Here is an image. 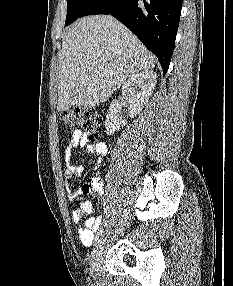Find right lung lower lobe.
Instances as JSON below:
<instances>
[{
  "label": "right lung lower lobe",
  "mask_w": 233,
  "mask_h": 286,
  "mask_svg": "<svg viewBox=\"0 0 233 286\" xmlns=\"http://www.w3.org/2000/svg\"><path fill=\"white\" fill-rule=\"evenodd\" d=\"M182 0H96L81 17L111 14L153 52L166 74L178 30Z\"/></svg>",
  "instance_id": "1"
}]
</instances>
